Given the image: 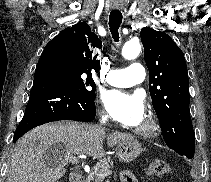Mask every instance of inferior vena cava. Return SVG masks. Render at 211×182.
Wrapping results in <instances>:
<instances>
[{"instance_id":"obj_1","label":"inferior vena cava","mask_w":211,"mask_h":182,"mask_svg":"<svg viewBox=\"0 0 211 182\" xmlns=\"http://www.w3.org/2000/svg\"><path fill=\"white\" fill-rule=\"evenodd\" d=\"M105 130V127L104 126H99L98 127V133H101V131H104Z\"/></svg>"}]
</instances>
